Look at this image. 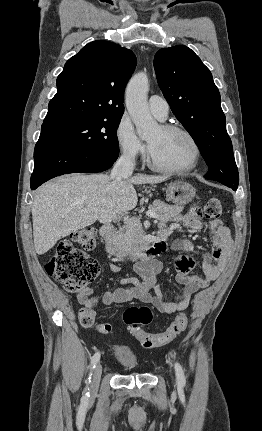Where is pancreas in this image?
<instances>
[{"label": "pancreas", "mask_w": 262, "mask_h": 431, "mask_svg": "<svg viewBox=\"0 0 262 431\" xmlns=\"http://www.w3.org/2000/svg\"><path fill=\"white\" fill-rule=\"evenodd\" d=\"M149 210L157 214L160 224L165 225L182 210L181 206L168 205L160 200H155L149 206ZM145 232L139 220L131 218L125 221V225L116 232L114 237L115 250L121 254L134 255L141 252L145 246Z\"/></svg>", "instance_id": "1"}]
</instances>
